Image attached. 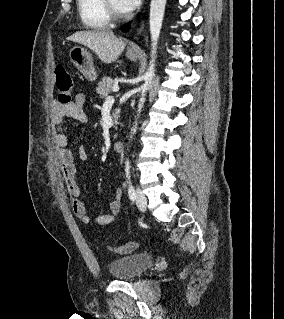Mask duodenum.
<instances>
[{
    "instance_id": "obj_1",
    "label": "duodenum",
    "mask_w": 284,
    "mask_h": 319,
    "mask_svg": "<svg viewBox=\"0 0 284 319\" xmlns=\"http://www.w3.org/2000/svg\"><path fill=\"white\" fill-rule=\"evenodd\" d=\"M113 148H114V150L117 151V152L122 151L123 148H124V142L121 141V140H118V141L114 142Z\"/></svg>"
}]
</instances>
